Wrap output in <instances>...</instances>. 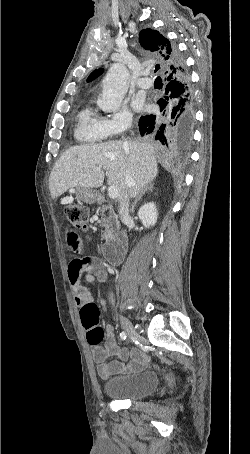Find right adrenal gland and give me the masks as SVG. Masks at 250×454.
Masks as SVG:
<instances>
[{"instance_id": "obj_1", "label": "right adrenal gland", "mask_w": 250, "mask_h": 454, "mask_svg": "<svg viewBox=\"0 0 250 454\" xmlns=\"http://www.w3.org/2000/svg\"><path fill=\"white\" fill-rule=\"evenodd\" d=\"M147 191H153V184H152V183H149L148 185H146V186L143 188V190L141 191V193L136 197V199L134 200V202H133V204H132V207H131V213L134 212L136 203L142 198V196H143Z\"/></svg>"}]
</instances>
